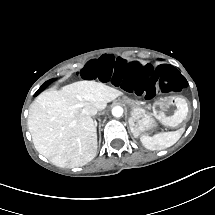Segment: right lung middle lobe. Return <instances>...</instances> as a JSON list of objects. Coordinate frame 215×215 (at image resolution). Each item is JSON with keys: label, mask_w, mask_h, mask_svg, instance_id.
<instances>
[{"label": "right lung middle lobe", "mask_w": 215, "mask_h": 215, "mask_svg": "<svg viewBox=\"0 0 215 215\" xmlns=\"http://www.w3.org/2000/svg\"><path fill=\"white\" fill-rule=\"evenodd\" d=\"M50 83V81L45 82L40 88L39 90L35 93V95L39 94L43 89H45L48 84Z\"/></svg>", "instance_id": "dd1d6c3e"}]
</instances>
